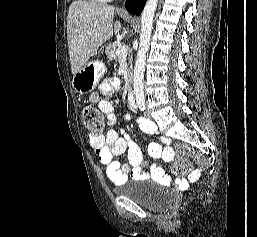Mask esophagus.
Instances as JSON below:
<instances>
[{"instance_id": "obj_1", "label": "esophagus", "mask_w": 257, "mask_h": 237, "mask_svg": "<svg viewBox=\"0 0 257 237\" xmlns=\"http://www.w3.org/2000/svg\"><path fill=\"white\" fill-rule=\"evenodd\" d=\"M120 10H122V11L124 10V5L120 8Z\"/></svg>"}]
</instances>
